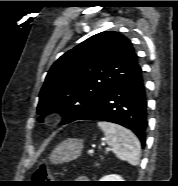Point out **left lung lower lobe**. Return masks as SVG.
<instances>
[{"instance_id":"0a47b994","label":"left lung lower lobe","mask_w":178,"mask_h":186,"mask_svg":"<svg viewBox=\"0 0 178 186\" xmlns=\"http://www.w3.org/2000/svg\"><path fill=\"white\" fill-rule=\"evenodd\" d=\"M75 120H100L122 125L132 130L144 145L148 122L141 67L115 84L97 104Z\"/></svg>"}]
</instances>
